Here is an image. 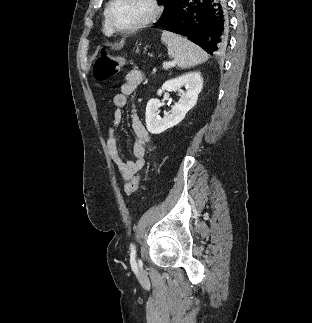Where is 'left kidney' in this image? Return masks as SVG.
I'll list each match as a JSON object with an SVG mask.
<instances>
[{
	"label": "left kidney",
	"instance_id": "1",
	"mask_svg": "<svg viewBox=\"0 0 312 323\" xmlns=\"http://www.w3.org/2000/svg\"><path fill=\"white\" fill-rule=\"evenodd\" d=\"M182 86H185V92L181 90ZM202 86L203 78L200 72H188V74L174 78V80H167L161 90H158V96H161L164 90H167V92H179L180 100L175 106H171L170 114H164L163 118L158 116L159 108L163 106L160 100H149L145 114L148 132L150 134H162L168 128H173V126H177L179 122H182L187 112L194 108Z\"/></svg>",
	"mask_w": 312,
	"mask_h": 323
}]
</instances>
